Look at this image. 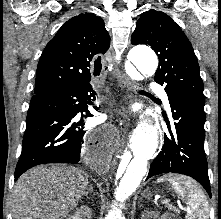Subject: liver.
Wrapping results in <instances>:
<instances>
[{
  "mask_svg": "<svg viewBox=\"0 0 221 219\" xmlns=\"http://www.w3.org/2000/svg\"><path fill=\"white\" fill-rule=\"evenodd\" d=\"M89 189L88 175L74 166H37L13 189V219H64Z\"/></svg>",
  "mask_w": 221,
  "mask_h": 219,
  "instance_id": "liver-1",
  "label": "liver"
}]
</instances>
